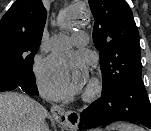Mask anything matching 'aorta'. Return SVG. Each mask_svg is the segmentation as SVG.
Segmentation results:
<instances>
[{"mask_svg": "<svg viewBox=\"0 0 151 131\" xmlns=\"http://www.w3.org/2000/svg\"><path fill=\"white\" fill-rule=\"evenodd\" d=\"M71 25H76V24H78L79 22L78 21H70L69 22Z\"/></svg>", "mask_w": 151, "mask_h": 131, "instance_id": "obj_1", "label": "aorta"}]
</instances>
